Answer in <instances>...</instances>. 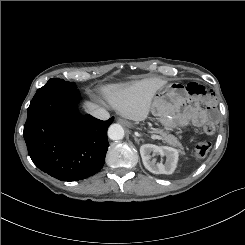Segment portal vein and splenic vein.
<instances>
[{
    "label": "portal vein and splenic vein",
    "instance_id": "18ae733b",
    "mask_svg": "<svg viewBox=\"0 0 245 245\" xmlns=\"http://www.w3.org/2000/svg\"><path fill=\"white\" fill-rule=\"evenodd\" d=\"M151 137H152L153 139H161V137L158 136V135H152Z\"/></svg>",
    "mask_w": 245,
    "mask_h": 245
}]
</instances>
